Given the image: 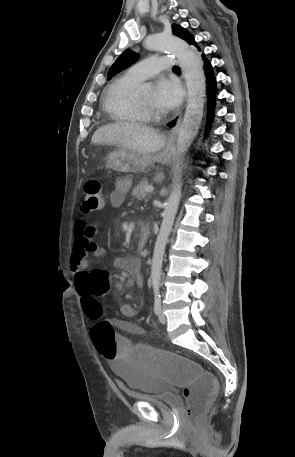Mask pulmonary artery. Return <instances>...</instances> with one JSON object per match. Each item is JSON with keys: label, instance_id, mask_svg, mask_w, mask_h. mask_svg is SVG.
Here are the masks:
<instances>
[{"label": "pulmonary artery", "instance_id": "e3ab8cb5", "mask_svg": "<svg viewBox=\"0 0 295 457\" xmlns=\"http://www.w3.org/2000/svg\"><path fill=\"white\" fill-rule=\"evenodd\" d=\"M174 60L168 56H152L144 59L128 69L126 75L138 82L153 77L161 70L170 69Z\"/></svg>", "mask_w": 295, "mask_h": 457}]
</instances>
